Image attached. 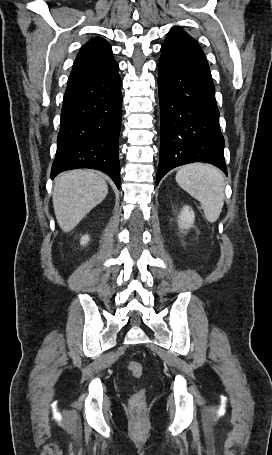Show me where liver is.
Masks as SVG:
<instances>
[{
	"label": "liver",
	"instance_id": "6515ba94",
	"mask_svg": "<svg viewBox=\"0 0 272 455\" xmlns=\"http://www.w3.org/2000/svg\"><path fill=\"white\" fill-rule=\"evenodd\" d=\"M108 193L105 180L92 170H73L55 179L53 207L57 222L63 232H69Z\"/></svg>",
	"mask_w": 272,
	"mask_h": 455
}]
</instances>
